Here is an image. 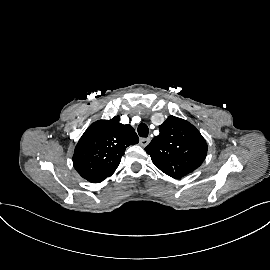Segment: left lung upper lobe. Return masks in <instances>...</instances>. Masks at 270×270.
I'll return each mask as SVG.
<instances>
[{
  "label": "left lung upper lobe",
  "instance_id": "1",
  "mask_svg": "<svg viewBox=\"0 0 270 270\" xmlns=\"http://www.w3.org/2000/svg\"><path fill=\"white\" fill-rule=\"evenodd\" d=\"M160 134L145 148L154 165L179 179L197 169L207 155V143L188 121L169 116L159 127Z\"/></svg>",
  "mask_w": 270,
  "mask_h": 270
}]
</instances>
